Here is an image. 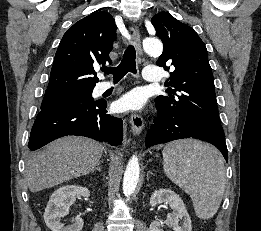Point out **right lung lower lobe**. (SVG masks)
<instances>
[{
	"label": "right lung lower lobe",
	"mask_w": 261,
	"mask_h": 231,
	"mask_svg": "<svg viewBox=\"0 0 261 231\" xmlns=\"http://www.w3.org/2000/svg\"><path fill=\"white\" fill-rule=\"evenodd\" d=\"M122 133V120L107 112L105 100L74 103L40 111L28 147L34 151L66 135L86 136L116 146L122 142Z\"/></svg>",
	"instance_id": "98d812e1"
}]
</instances>
